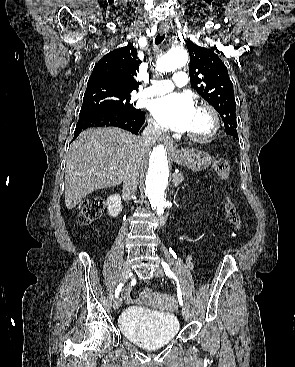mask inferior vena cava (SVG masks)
<instances>
[{
	"instance_id": "602c4592",
	"label": "inferior vena cava",
	"mask_w": 295,
	"mask_h": 367,
	"mask_svg": "<svg viewBox=\"0 0 295 367\" xmlns=\"http://www.w3.org/2000/svg\"><path fill=\"white\" fill-rule=\"evenodd\" d=\"M163 128L158 124H149L140 137V144L143 149L152 146L159 136L162 134ZM139 181V169L137 165H133L126 170L123 180V194L130 198L137 190Z\"/></svg>"
}]
</instances>
